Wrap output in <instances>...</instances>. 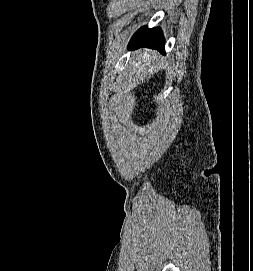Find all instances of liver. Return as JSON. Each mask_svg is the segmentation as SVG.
<instances>
[{"label":"liver","instance_id":"liver-1","mask_svg":"<svg viewBox=\"0 0 253 271\" xmlns=\"http://www.w3.org/2000/svg\"><path fill=\"white\" fill-rule=\"evenodd\" d=\"M157 62L155 52L140 50L136 53L135 61L132 63L133 73L138 76L142 73V77H146L147 72L149 75H153L157 69ZM152 63L153 65H151Z\"/></svg>","mask_w":253,"mask_h":271}]
</instances>
